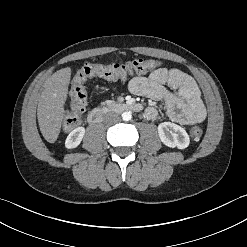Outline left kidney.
Wrapping results in <instances>:
<instances>
[{
  "mask_svg": "<svg viewBox=\"0 0 247 247\" xmlns=\"http://www.w3.org/2000/svg\"><path fill=\"white\" fill-rule=\"evenodd\" d=\"M158 135L162 143L171 148L185 149L190 143L189 135L185 129L171 122L159 124Z\"/></svg>",
  "mask_w": 247,
  "mask_h": 247,
  "instance_id": "obj_1",
  "label": "left kidney"
}]
</instances>
